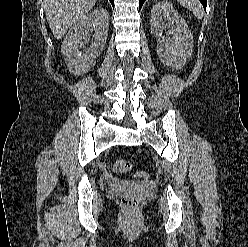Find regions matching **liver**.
Returning a JSON list of instances; mask_svg holds the SVG:
<instances>
[{
	"label": "liver",
	"mask_w": 248,
	"mask_h": 247,
	"mask_svg": "<svg viewBox=\"0 0 248 247\" xmlns=\"http://www.w3.org/2000/svg\"><path fill=\"white\" fill-rule=\"evenodd\" d=\"M95 3L96 0H44L46 19L54 37L61 39Z\"/></svg>",
	"instance_id": "obj_1"
}]
</instances>
